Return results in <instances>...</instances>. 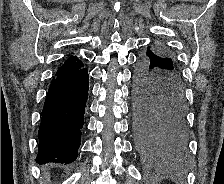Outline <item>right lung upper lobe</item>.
Listing matches in <instances>:
<instances>
[{
	"mask_svg": "<svg viewBox=\"0 0 224 184\" xmlns=\"http://www.w3.org/2000/svg\"><path fill=\"white\" fill-rule=\"evenodd\" d=\"M82 62L78 60L75 56H70L62 66L59 67L58 71L67 70L71 68H76L80 66Z\"/></svg>",
	"mask_w": 224,
	"mask_h": 184,
	"instance_id": "cb5924a9",
	"label": "right lung upper lobe"
}]
</instances>
